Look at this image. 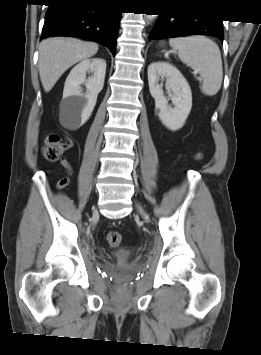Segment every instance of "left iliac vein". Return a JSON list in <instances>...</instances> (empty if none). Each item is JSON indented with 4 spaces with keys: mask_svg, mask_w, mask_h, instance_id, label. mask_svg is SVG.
Returning <instances> with one entry per match:
<instances>
[{
    "mask_svg": "<svg viewBox=\"0 0 261 355\" xmlns=\"http://www.w3.org/2000/svg\"><path fill=\"white\" fill-rule=\"evenodd\" d=\"M138 211L140 213V215L144 218V220H148V215L146 214V212L144 211V209L142 208L141 205H137Z\"/></svg>",
    "mask_w": 261,
    "mask_h": 355,
    "instance_id": "4c4485c4",
    "label": "left iliac vein"
}]
</instances>
